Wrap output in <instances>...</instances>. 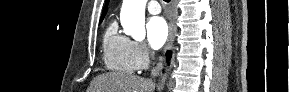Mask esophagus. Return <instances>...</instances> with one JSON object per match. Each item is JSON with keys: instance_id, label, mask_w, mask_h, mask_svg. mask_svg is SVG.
<instances>
[{"instance_id": "34e87169", "label": "esophagus", "mask_w": 289, "mask_h": 92, "mask_svg": "<svg viewBox=\"0 0 289 92\" xmlns=\"http://www.w3.org/2000/svg\"><path fill=\"white\" fill-rule=\"evenodd\" d=\"M174 2H171V7H173ZM175 33H176V26H175V22L173 19H171L170 23H169V36L165 45V49H164V54L166 53L167 50L170 49V47L172 46L174 39H175ZM164 59V56L161 59V62L159 63V66L162 65V61Z\"/></svg>"}]
</instances>
